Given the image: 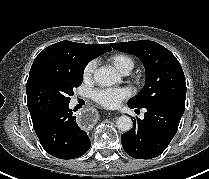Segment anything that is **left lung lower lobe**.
I'll return each instance as SVG.
<instances>
[{
	"instance_id": "0a47b994",
	"label": "left lung lower lobe",
	"mask_w": 209,
	"mask_h": 179,
	"mask_svg": "<svg viewBox=\"0 0 209 179\" xmlns=\"http://www.w3.org/2000/svg\"><path fill=\"white\" fill-rule=\"evenodd\" d=\"M128 106L138 108L129 103ZM144 108L145 118L133 121V128L121 135L123 149L136 159L155 158L167 148L177 132L185 101L161 102Z\"/></svg>"
}]
</instances>
